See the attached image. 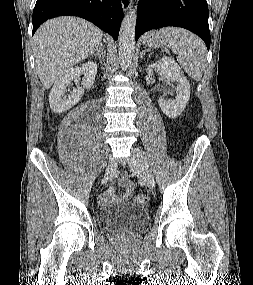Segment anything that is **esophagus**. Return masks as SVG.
Segmentation results:
<instances>
[{
  "mask_svg": "<svg viewBox=\"0 0 253 285\" xmlns=\"http://www.w3.org/2000/svg\"><path fill=\"white\" fill-rule=\"evenodd\" d=\"M122 8L125 12H127L131 8V0H121Z\"/></svg>",
  "mask_w": 253,
  "mask_h": 285,
  "instance_id": "esophagus-1",
  "label": "esophagus"
}]
</instances>
